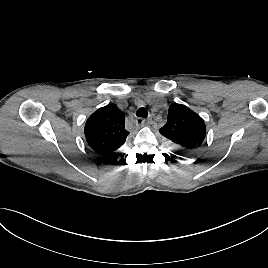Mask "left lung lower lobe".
Here are the masks:
<instances>
[{
	"instance_id": "left-lung-lower-lobe-1",
	"label": "left lung lower lobe",
	"mask_w": 268,
	"mask_h": 268,
	"mask_svg": "<svg viewBox=\"0 0 268 268\" xmlns=\"http://www.w3.org/2000/svg\"><path fill=\"white\" fill-rule=\"evenodd\" d=\"M180 150H182V151H188V150H185V149H182V148H179Z\"/></svg>"
}]
</instances>
